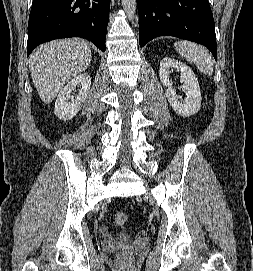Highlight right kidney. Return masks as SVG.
Returning a JSON list of instances; mask_svg holds the SVG:
<instances>
[{"label": "right kidney", "mask_w": 253, "mask_h": 271, "mask_svg": "<svg viewBox=\"0 0 253 271\" xmlns=\"http://www.w3.org/2000/svg\"><path fill=\"white\" fill-rule=\"evenodd\" d=\"M91 86V77L88 74H81L74 77L58 94L55 102L54 112L61 120L72 119L81 109L85 102ZM78 89V94L72 95Z\"/></svg>", "instance_id": "obj_1"}]
</instances>
